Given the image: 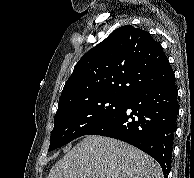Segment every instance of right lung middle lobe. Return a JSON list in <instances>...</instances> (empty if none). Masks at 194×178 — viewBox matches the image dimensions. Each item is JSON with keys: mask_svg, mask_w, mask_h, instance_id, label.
I'll list each match as a JSON object with an SVG mask.
<instances>
[{"mask_svg": "<svg viewBox=\"0 0 194 178\" xmlns=\"http://www.w3.org/2000/svg\"><path fill=\"white\" fill-rule=\"evenodd\" d=\"M128 98L98 96L71 103L57 110L51 132L52 151L86 135L122 108Z\"/></svg>", "mask_w": 194, "mask_h": 178, "instance_id": "right-lung-middle-lobe-1", "label": "right lung middle lobe"}]
</instances>
